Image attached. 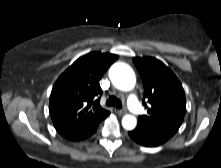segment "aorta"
I'll list each match as a JSON object with an SVG mask.
<instances>
[{
	"label": "aorta",
	"mask_w": 221,
	"mask_h": 168,
	"mask_svg": "<svg viewBox=\"0 0 221 168\" xmlns=\"http://www.w3.org/2000/svg\"><path fill=\"white\" fill-rule=\"evenodd\" d=\"M109 78L113 85L123 91H130L135 87L136 76L133 69L126 63L117 62L109 70ZM137 125L135 116L127 114L122 118V126L126 130H133Z\"/></svg>",
	"instance_id": "762f6f07"
}]
</instances>
